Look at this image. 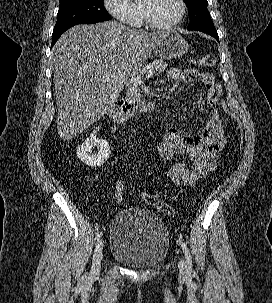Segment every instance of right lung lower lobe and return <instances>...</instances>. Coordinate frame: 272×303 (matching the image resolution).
<instances>
[{"mask_svg": "<svg viewBox=\"0 0 272 303\" xmlns=\"http://www.w3.org/2000/svg\"><path fill=\"white\" fill-rule=\"evenodd\" d=\"M83 24H90V23H83ZM72 26H74V25H72ZM72 26H70V27H72ZM70 27H67V28H64V29H61V30H58V31H53L51 47L56 43V41L58 40V38H59L67 29H69Z\"/></svg>", "mask_w": 272, "mask_h": 303, "instance_id": "obj_1", "label": "right lung lower lobe"}]
</instances>
